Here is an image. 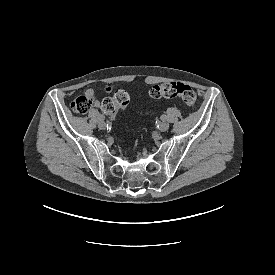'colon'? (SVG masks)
Returning <instances> with one entry per match:
<instances>
[{"label":"colon","instance_id":"5ec220e1","mask_svg":"<svg viewBox=\"0 0 275 275\" xmlns=\"http://www.w3.org/2000/svg\"><path fill=\"white\" fill-rule=\"evenodd\" d=\"M150 96L155 99L179 98L191 110L197 109V96L195 91L183 82L172 81L155 85L150 90ZM129 104V93L125 90H117L113 96L106 97L101 101V110L109 119H113L118 109H125ZM93 105V98L83 95L72 101L71 108L78 114H85Z\"/></svg>","mask_w":275,"mask_h":275}]
</instances>
